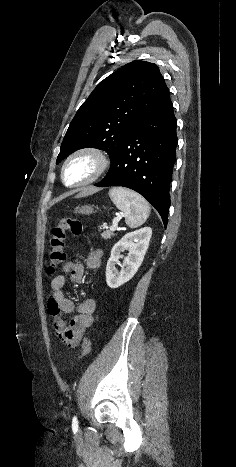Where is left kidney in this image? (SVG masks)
<instances>
[{"label":"left kidney","mask_w":236,"mask_h":467,"mask_svg":"<svg viewBox=\"0 0 236 467\" xmlns=\"http://www.w3.org/2000/svg\"><path fill=\"white\" fill-rule=\"evenodd\" d=\"M151 236L152 229L144 227L127 233L113 246L106 266V282L110 288H118L136 274L143 262ZM124 250H128L129 255L124 259L125 267L119 272L115 268V264L121 258V252Z\"/></svg>","instance_id":"left-kidney-1"}]
</instances>
